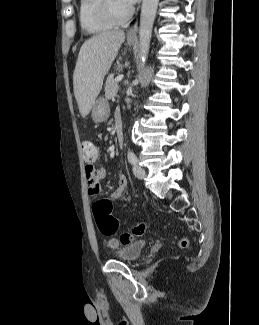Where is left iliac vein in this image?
<instances>
[{"label": "left iliac vein", "mask_w": 259, "mask_h": 325, "mask_svg": "<svg viewBox=\"0 0 259 325\" xmlns=\"http://www.w3.org/2000/svg\"><path fill=\"white\" fill-rule=\"evenodd\" d=\"M133 173L138 179H144L146 176L145 170L138 164H134Z\"/></svg>", "instance_id": "1"}]
</instances>
